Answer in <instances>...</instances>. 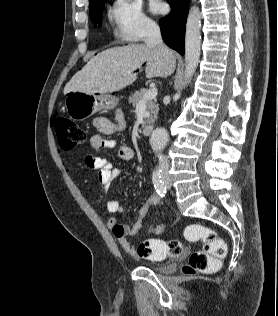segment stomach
<instances>
[{
  "label": "stomach",
  "instance_id": "stomach-1",
  "mask_svg": "<svg viewBox=\"0 0 278 316\" xmlns=\"http://www.w3.org/2000/svg\"><path fill=\"white\" fill-rule=\"evenodd\" d=\"M118 98L109 94H87L70 92L66 95L64 107L73 120H84L100 110L114 109Z\"/></svg>",
  "mask_w": 278,
  "mask_h": 316
}]
</instances>
